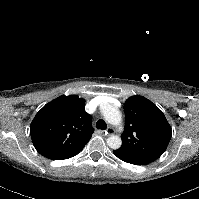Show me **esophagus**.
Segmentation results:
<instances>
[{"mask_svg": "<svg viewBox=\"0 0 199 199\" xmlns=\"http://www.w3.org/2000/svg\"><path fill=\"white\" fill-rule=\"evenodd\" d=\"M115 133V130L112 128V127H108L106 130H105V135L109 136V135H112Z\"/></svg>", "mask_w": 199, "mask_h": 199, "instance_id": "1", "label": "esophagus"}]
</instances>
